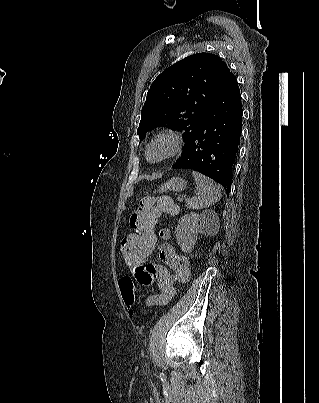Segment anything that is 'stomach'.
I'll list each match as a JSON object with an SVG mask.
<instances>
[{
  "label": "stomach",
  "mask_w": 319,
  "mask_h": 403,
  "mask_svg": "<svg viewBox=\"0 0 319 403\" xmlns=\"http://www.w3.org/2000/svg\"><path fill=\"white\" fill-rule=\"evenodd\" d=\"M186 188V181L180 177H173L159 187V192L176 191L181 192Z\"/></svg>",
  "instance_id": "obj_1"
}]
</instances>
